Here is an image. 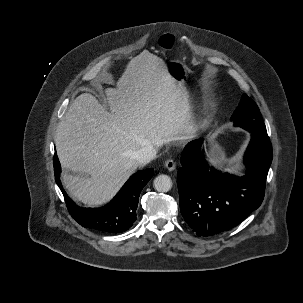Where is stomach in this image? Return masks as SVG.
I'll use <instances>...</instances> for the list:
<instances>
[{"label": "stomach", "mask_w": 303, "mask_h": 303, "mask_svg": "<svg viewBox=\"0 0 303 303\" xmlns=\"http://www.w3.org/2000/svg\"><path fill=\"white\" fill-rule=\"evenodd\" d=\"M169 74L177 81L183 84L188 74V67L179 60H171L166 64ZM210 162L216 167H222L227 161L224 149L218 142H212L209 150Z\"/></svg>", "instance_id": "1"}]
</instances>
